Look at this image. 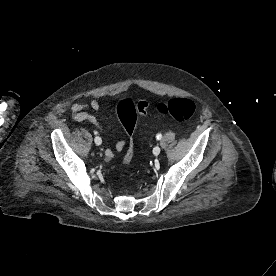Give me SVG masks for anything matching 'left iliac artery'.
<instances>
[{
  "label": "left iliac artery",
  "mask_w": 276,
  "mask_h": 276,
  "mask_svg": "<svg viewBox=\"0 0 276 276\" xmlns=\"http://www.w3.org/2000/svg\"><path fill=\"white\" fill-rule=\"evenodd\" d=\"M156 138H157V140H160L162 138V135L161 134H157Z\"/></svg>",
  "instance_id": "obj_1"
}]
</instances>
